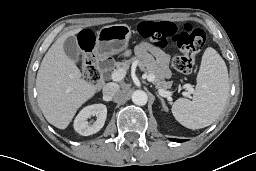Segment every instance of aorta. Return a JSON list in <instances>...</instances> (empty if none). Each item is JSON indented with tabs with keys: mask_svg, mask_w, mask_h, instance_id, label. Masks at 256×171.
Returning <instances> with one entry per match:
<instances>
[{
	"mask_svg": "<svg viewBox=\"0 0 256 171\" xmlns=\"http://www.w3.org/2000/svg\"><path fill=\"white\" fill-rule=\"evenodd\" d=\"M148 96L143 90H136L132 94V102L136 105L143 106L147 103Z\"/></svg>",
	"mask_w": 256,
	"mask_h": 171,
	"instance_id": "obj_1",
	"label": "aorta"
}]
</instances>
